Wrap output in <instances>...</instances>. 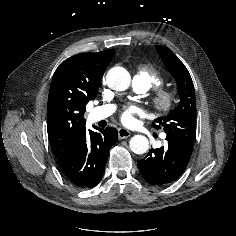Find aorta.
Masks as SVG:
<instances>
[{"label": "aorta", "mask_w": 236, "mask_h": 236, "mask_svg": "<svg viewBox=\"0 0 236 236\" xmlns=\"http://www.w3.org/2000/svg\"><path fill=\"white\" fill-rule=\"evenodd\" d=\"M131 76L122 67H114L107 74V84L116 91H124L130 86ZM129 147L135 154H144L149 149V141L143 135H135L129 141Z\"/></svg>", "instance_id": "762f6f07"}]
</instances>
